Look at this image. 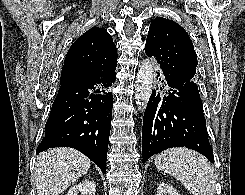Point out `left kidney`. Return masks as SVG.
<instances>
[{
    "mask_svg": "<svg viewBox=\"0 0 245 195\" xmlns=\"http://www.w3.org/2000/svg\"><path fill=\"white\" fill-rule=\"evenodd\" d=\"M157 195H180L173 186L161 183L158 186Z\"/></svg>",
    "mask_w": 245,
    "mask_h": 195,
    "instance_id": "1",
    "label": "left kidney"
}]
</instances>
